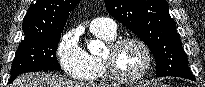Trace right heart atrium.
<instances>
[{"instance_id":"d8ad5b80","label":"right heart atrium","mask_w":205,"mask_h":87,"mask_svg":"<svg viewBox=\"0 0 205 87\" xmlns=\"http://www.w3.org/2000/svg\"><path fill=\"white\" fill-rule=\"evenodd\" d=\"M56 56L63 71L79 79L89 70L86 51L80 46L74 32L65 33L56 46Z\"/></svg>"}]
</instances>
